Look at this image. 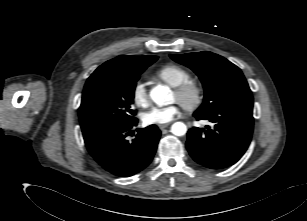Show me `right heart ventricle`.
I'll use <instances>...</instances> for the list:
<instances>
[{
    "mask_svg": "<svg viewBox=\"0 0 307 221\" xmlns=\"http://www.w3.org/2000/svg\"><path fill=\"white\" fill-rule=\"evenodd\" d=\"M155 76L168 85L175 87L189 80L191 74L187 69L179 65L166 64L156 70Z\"/></svg>",
    "mask_w": 307,
    "mask_h": 221,
    "instance_id": "e07e8e85",
    "label": "right heart ventricle"
}]
</instances>
